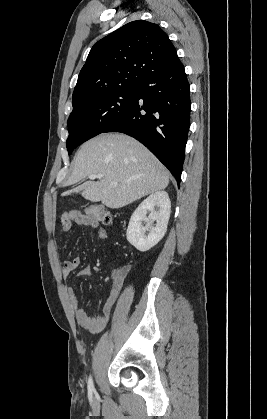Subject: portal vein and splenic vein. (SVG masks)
Segmentation results:
<instances>
[{"label": "portal vein and splenic vein", "instance_id": "1", "mask_svg": "<svg viewBox=\"0 0 267 419\" xmlns=\"http://www.w3.org/2000/svg\"><path fill=\"white\" fill-rule=\"evenodd\" d=\"M103 176H104L103 174H96V175L93 174V175H89L88 178L91 180H94V179H101L103 178ZM117 184H118L117 182H111V186L113 187L117 186Z\"/></svg>", "mask_w": 267, "mask_h": 419}]
</instances>
